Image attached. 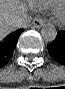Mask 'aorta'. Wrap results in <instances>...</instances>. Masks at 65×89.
<instances>
[{
  "instance_id": "1",
  "label": "aorta",
  "mask_w": 65,
  "mask_h": 89,
  "mask_svg": "<svg viewBox=\"0 0 65 89\" xmlns=\"http://www.w3.org/2000/svg\"><path fill=\"white\" fill-rule=\"evenodd\" d=\"M42 38L47 42H52L57 36V29L53 24H45L41 29Z\"/></svg>"
}]
</instances>
